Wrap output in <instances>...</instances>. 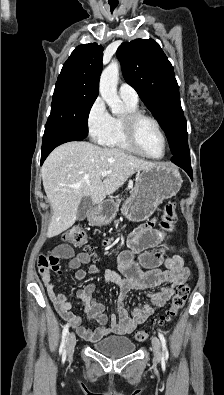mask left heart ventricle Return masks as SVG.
I'll return each instance as SVG.
<instances>
[{
	"instance_id": "left-heart-ventricle-1",
	"label": "left heart ventricle",
	"mask_w": 224,
	"mask_h": 395,
	"mask_svg": "<svg viewBox=\"0 0 224 395\" xmlns=\"http://www.w3.org/2000/svg\"><path fill=\"white\" fill-rule=\"evenodd\" d=\"M138 140L143 149L152 156L160 157L164 152V143L156 127L147 120L138 126Z\"/></svg>"
}]
</instances>
